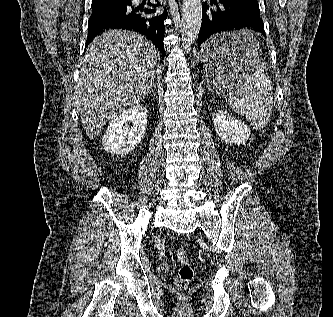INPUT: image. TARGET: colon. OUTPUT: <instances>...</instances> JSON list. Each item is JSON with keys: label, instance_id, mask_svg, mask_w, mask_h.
I'll list each match as a JSON object with an SVG mask.
<instances>
[{"label": "colon", "instance_id": "colon-1", "mask_svg": "<svg viewBox=\"0 0 333 317\" xmlns=\"http://www.w3.org/2000/svg\"><path fill=\"white\" fill-rule=\"evenodd\" d=\"M176 257L179 267L175 285L178 289L185 290L194 279L195 271L184 248L177 249Z\"/></svg>", "mask_w": 333, "mask_h": 317}]
</instances>
